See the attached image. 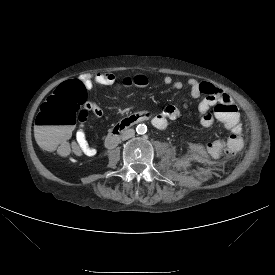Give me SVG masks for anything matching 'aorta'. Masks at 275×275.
Segmentation results:
<instances>
[{
	"mask_svg": "<svg viewBox=\"0 0 275 275\" xmlns=\"http://www.w3.org/2000/svg\"><path fill=\"white\" fill-rule=\"evenodd\" d=\"M136 131L140 135L145 134L147 132V126L145 124H139L136 127Z\"/></svg>",
	"mask_w": 275,
	"mask_h": 275,
	"instance_id": "obj_1",
	"label": "aorta"
}]
</instances>
